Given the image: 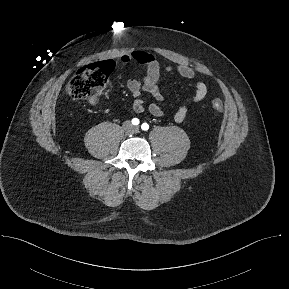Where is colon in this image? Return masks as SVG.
<instances>
[{
    "mask_svg": "<svg viewBox=\"0 0 289 289\" xmlns=\"http://www.w3.org/2000/svg\"><path fill=\"white\" fill-rule=\"evenodd\" d=\"M114 69L112 62H98L79 69L66 85L67 94L73 99L87 100L96 105L99 97L109 87V77ZM212 107L221 112L223 101L219 98L212 100Z\"/></svg>",
    "mask_w": 289,
    "mask_h": 289,
    "instance_id": "obj_1",
    "label": "colon"
}]
</instances>
